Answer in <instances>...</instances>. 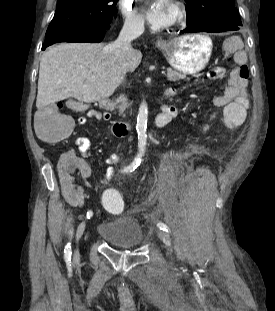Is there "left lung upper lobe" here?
Returning a JSON list of instances; mask_svg holds the SVG:
<instances>
[{"mask_svg":"<svg viewBox=\"0 0 275 311\" xmlns=\"http://www.w3.org/2000/svg\"><path fill=\"white\" fill-rule=\"evenodd\" d=\"M185 2L187 25L219 19L232 26H242L234 0H185Z\"/></svg>","mask_w":275,"mask_h":311,"instance_id":"5c2ea615","label":"left lung upper lobe"}]
</instances>
